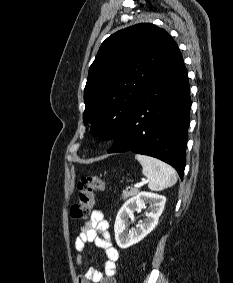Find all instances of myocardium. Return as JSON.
Masks as SVG:
<instances>
[{
  "label": "myocardium",
  "mask_w": 233,
  "mask_h": 283,
  "mask_svg": "<svg viewBox=\"0 0 233 283\" xmlns=\"http://www.w3.org/2000/svg\"><path fill=\"white\" fill-rule=\"evenodd\" d=\"M113 137H114V135H113L112 132H105L101 135L100 142L103 145H109L112 142Z\"/></svg>",
  "instance_id": "obj_1"
}]
</instances>
